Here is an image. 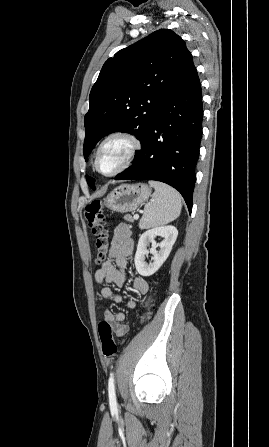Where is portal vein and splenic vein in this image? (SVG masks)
Wrapping results in <instances>:
<instances>
[{
  "label": "portal vein and splenic vein",
  "mask_w": 269,
  "mask_h": 447,
  "mask_svg": "<svg viewBox=\"0 0 269 447\" xmlns=\"http://www.w3.org/2000/svg\"><path fill=\"white\" fill-rule=\"evenodd\" d=\"M139 216L138 214H136V216H134V220H138Z\"/></svg>",
  "instance_id": "1"
}]
</instances>
